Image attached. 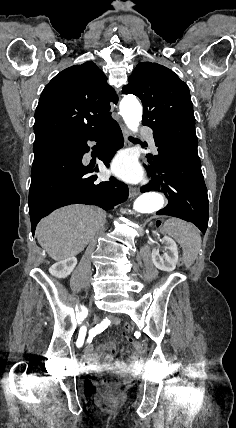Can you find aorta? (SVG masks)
I'll list each match as a JSON object with an SVG mask.
<instances>
[{
  "label": "aorta",
  "instance_id": "obj_1",
  "mask_svg": "<svg viewBox=\"0 0 236 428\" xmlns=\"http://www.w3.org/2000/svg\"><path fill=\"white\" fill-rule=\"evenodd\" d=\"M120 114L127 127L136 132L142 119V107L133 95L125 96L120 102ZM164 206V198L158 192H146L139 196L133 205L140 213H153Z\"/></svg>",
  "mask_w": 236,
  "mask_h": 428
}]
</instances>
